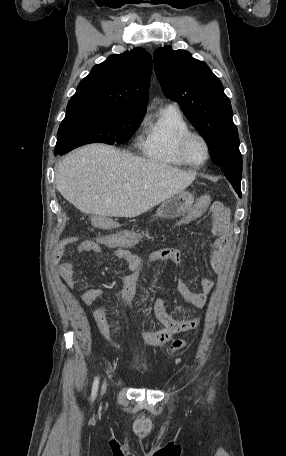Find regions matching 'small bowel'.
I'll return each instance as SVG.
<instances>
[{"label":"small bowel","instance_id":"c3829d8e","mask_svg":"<svg viewBox=\"0 0 286 456\" xmlns=\"http://www.w3.org/2000/svg\"><path fill=\"white\" fill-rule=\"evenodd\" d=\"M207 205L199 203L191 207L188 212L177 221L172 229L181 228L202 215ZM213 215V225L211 233L214 239L210 243L209 263L211 268L218 273L224 272L230 250L229 239V213L220 203V208L215 209L211 206ZM105 236L113 238L111 243L105 241ZM74 238H64L56 245L53 252V263L57 265V272L65 286L73 290L74 282V259L78 255H100L104 249H110L115 259L123 261L130 273L124 277V289L121 295V304L123 315L128 325H131V312L133 299L136 294V285L139 278L140 270L144 262H165L179 264L183 260L181 248H163L152 252L143 262L137 255L125 249V247L136 244L140 241L138 234L123 231L115 234L104 235L94 240H84L79 242L72 254L62 261L66 253V248L72 243ZM198 285L201 292L192 291L187 283L178 278L176 287L182 299L191 306L203 308L207 304L208 295L214 287V282L208 278H199ZM161 287V280L157 282L156 288ZM103 295V290L99 288H90L84 292L81 301L86 308H91L96 304L93 312V320L101 337L110 342V326L107 320L105 306L98 300ZM153 312L155 317L163 325L158 331H143L140 333L141 339L152 347H157L166 342L173 335L188 332L195 329L200 318L188 320H175L167 311L165 302L160 295H157L153 301Z\"/></svg>","mask_w":286,"mask_h":456}]
</instances>
